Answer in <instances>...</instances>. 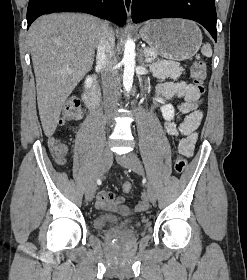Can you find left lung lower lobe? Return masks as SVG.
Returning <instances> with one entry per match:
<instances>
[{
    "instance_id": "1",
    "label": "left lung lower lobe",
    "mask_w": 247,
    "mask_h": 280,
    "mask_svg": "<svg viewBox=\"0 0 247 280\" xmlns=\"http://www.w3.org/2000/svg\"><path fill=\"white\" fill-rule=\"evenodd\" d=\"M178 17L203 25L217 40L214 0H133L132 19L141 22L153 18Z\"/></svg>"
}]
</instances>
